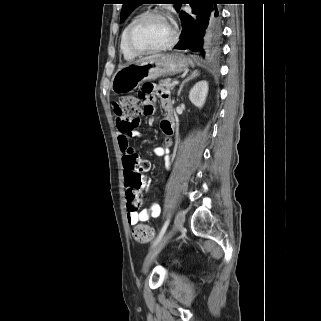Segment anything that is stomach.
<instances>
[{
  "label": "stomach",
  "mask_w": 321,
  "mask_h": 321,
  "mask_svg": "<svg viewBox=\"0 0 321 321\" xmlns=\"http://www.w3.org/2000/svg\"><path fill=\"white\" fill-rule=\"evenodd\" d=\"M188 60L178 53L135 62L120 67L113 76L111 89L115 94L130 93L145 80L173 76L187 70Z\"/></svg>",
  "instance_id": "0dacf381"
}]
</instances>
